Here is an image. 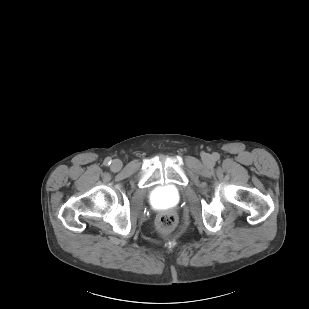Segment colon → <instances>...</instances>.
Wrapping results in <instances>:
<instances>
[{"label":"colon","instance_id":"5ec220e1","mask_svg":"<svg viewBox=\"0 0 309 309\" xmlns=\"http://www.w3.org/2000/svg\"><path fill=\"white\" fill-rule=\"evenodd\" d=\"M177 222L176 215L171 212L162 213L157 220V227L162 232L172 230Z\"/></svg>","mask_w":309,"mask_h":309}]
</instances>
